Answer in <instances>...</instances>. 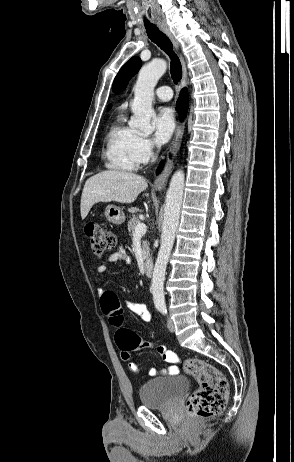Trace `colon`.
I'll list each match as a JSON object with an SVG mask.
<instances>
[{
  "label": "colon",
  "mask_w": 294,
  "mask_h": 462,
  "mask_svg": "<svg viewBox=\"0 0 294 462\" xmlns=\"http://www.w3.org/2000/svg\"><path fill=\"white\" fill-rule=\"evenodd\" d=\"M85 234L93 253L102 257L115 245L114 235L96 223L85 226ZM101 309L111 325L118 328L115 341L123 353L130 354L152 348L136 333L122 328V307L115 292L104 291L100 299ZM185 372L199 384L186 402V411L193 418L210 417L221 413L228 399V383L223 373L215 366L201 359L189 358L184 361Z\"/></svg>",
  "instance_id": "colon-1"
}]
</instances>
